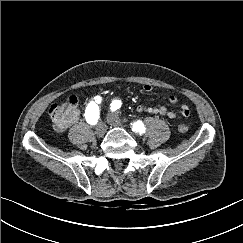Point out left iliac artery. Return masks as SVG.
I'll use <instances>...</instances> for the list:
<instances>
[{"label":"left iliac artery","instance_id":"obj_1","mask_svg":"<svg viewBox=\"0 0 243 243\" xmlns=\"http://www.w3.org/2000/svg\"><path fill=\"white\" fill-rule=\"evenodd\" d=\"M110 106H111L112 111H116L121 107V101L120 100H113L111 102ZM132 130H134L136 132L144 133L145 128H144L143 123L138 121V122L133 124Z\"/></svg>","mask_w":243,"mask_h":243}]
</instances>
